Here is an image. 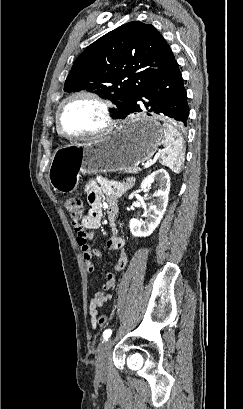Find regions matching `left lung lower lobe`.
I'll return each mask as SVG.
<instances>
[{
  "mask_svg": "<svg viewBox=\"0 0 243 409\" xmlns=\"http://www.w3.org/2000/svg\"><path fill=\"white\" fill-rule=\"evenodd\" d=\"M156 113L181 121L186 126L189 116L187 94L178 63L153 78L130 107L134 112Z\"/></svg>",
  "mask_w": 243,
  "mask_h": 409,
  "instance_id": "obj_1",
  "label": "left lung lower lobe"
}]
</instances>
